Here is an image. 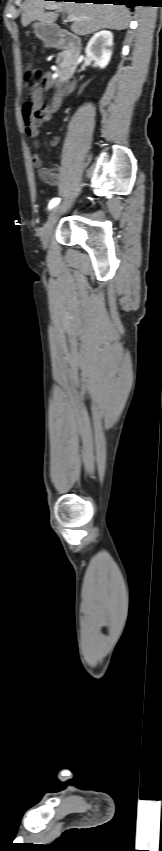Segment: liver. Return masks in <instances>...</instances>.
Here are the masks:
<instances>
[{
    "label": "liver",
    "instance_id": "obj_1",
    "mask_svg": "<svg viewBox=\"0 0 162 851\" xmlns=\"http://www.w3.org/2000/svg\"><path fill=\"white\" fill-rule=\"evenodd\" d=\"M53 6L56 7L55 9L62 8L69 15L80 18L71 25V31L80 36L101 29L124 30L130 22V12L124 5L25 0L22 6V25L26 27L35 20L52 25L56 21L58 13H45L44 9Z\"/></svg>",
    "mask_w": 162,
    "mask_h": 851
}]
</instances>
